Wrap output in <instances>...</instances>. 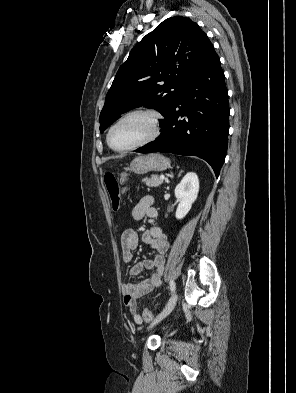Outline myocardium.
Wrapping results in <instances>:
<instances>
[{"label":"myocardium","mask_w":296,"mask_h":393,"mask_svg":"<svg viewBox=\"0 0 296 393\" xmlns=\"http://www.w3.org/2000/svg\"><path fill=\"white\" fill-rule=\"evenodd\" d=\"M135 115H142V116H146L150 119L151 124H152V131L150 133V135L148 137H146L145 139H143L142 141L135 143L129 147L126 148H115L112 143H111V134L113 129L123 120L135 116ZM161 132V116L159 113H157L154 110H150V109H136V110H132L129 111L125 114H123L120 118H118L109 128L108 133H107V144L108 146L116 151V152H126V151H130V150H134L137 148H140L142 146H145L151 142H153L154 140H156Z\"/></svg>","instance_id":"myocardium-1"}]
</instances>
